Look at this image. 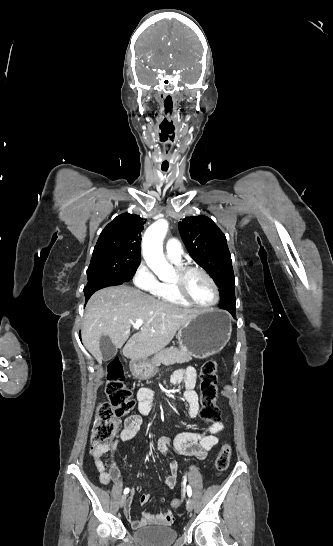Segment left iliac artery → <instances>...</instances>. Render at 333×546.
I'll list each match as a JSON object with an SVG mask.
<instances>
[{"label":"left iliac artery","instance_id":"obj_1","mask_svg":"<svg viewBox=\"0 0 333 546\" xmlns=\"http://www.w3.org/2000/svg\"><path fill=\"white\" fill-rule=\"evenodd\" d=\"M187 494H188L189 497H191V495H192V489H191V487L189 485L187 486Z\"/></svg>","mask_w":333,"mask_h":546}]
</instances>
